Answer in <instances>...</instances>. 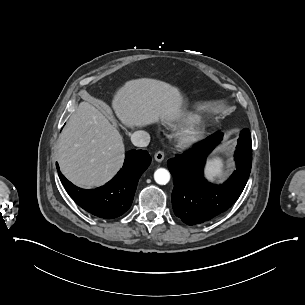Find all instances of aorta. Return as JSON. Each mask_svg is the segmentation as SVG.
<instances>
[{
	"instance_id": "obj_1",
	"label": "aorta",
	"mask_w": 305,
	"mask_h": 305,
	"mask_svg": "<svg viewBox=\"0 0 305 305\" xmlns=\"http://www.w3.org/2000/svg\"><path fill=\"white\" fill-rule=\"evenodd\" d=\"M155 181L160 185H165L170 180V173L165 168H159L154 173Z\"/></svg>"
}]
</instances>
